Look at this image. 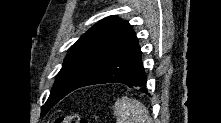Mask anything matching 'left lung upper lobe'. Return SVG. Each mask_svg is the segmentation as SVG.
I'll return each instance as SVG.
<instances>
[{
    "label": "left lung upper lobe",
    "mask_w": 221,
    "mask_h": 123,
    "mask_svg": "<svg viewBox=\"0 0 221 123\" xmlns=\"http://www.w3.org/2000/svg\"><path fill=\"white\" fill-rule=\"evenodd\" d=\"M137 44L136 34L127 21L116 16L99 21L70 47L42 114L100 68Z\"/></svg>",
    "instance_id": "left-lung-upper-lobe-1"
}]
</instances>
